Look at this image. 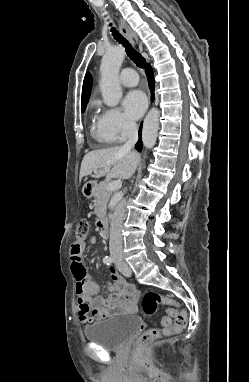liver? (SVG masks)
<instances>
[{
    "label": "liver",
    "mask_w": 249,
    "mask_h": 382,
    "mask_svg": "<svg viewBox=\"0 0 249 382\" xmlns=\"http://www.w3.org/2000/svg\"><path fill=\"white\" fill-rule=\"evenodd\" d=\"M139 161L140 156L137 153L125 151L120 146L93 150L82 160L80 179L88 175L95 178L106 175L108 178L129 179Z\"/></svg>",
    "instance_id": "1"
}]
</instances>
